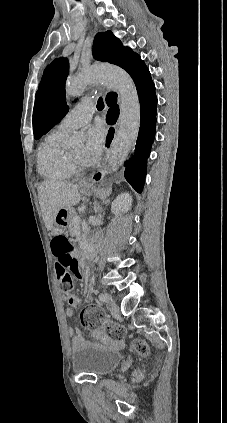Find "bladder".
Here are the masks:
<instances>
[{
    "instance_id": "obj_1",
    "label": "bladder",
    "mask_w": 227,
    "mask_h": 423,
    "mask_svg": "<svg viewBox=\"0 0 227 423\" xmlns=\"http://www.w3.org/2000/svg\"><path fill=\"white\" fill-rule=\"evenodd\" d=\"M122 362L123 356L120 352L88 343L72 355V370L105 378Z\"/></svg>"
}]
</instances>
